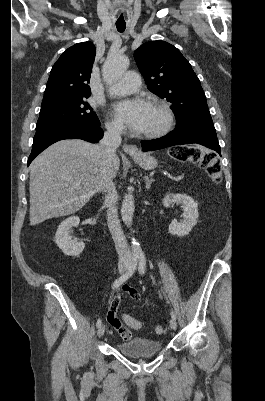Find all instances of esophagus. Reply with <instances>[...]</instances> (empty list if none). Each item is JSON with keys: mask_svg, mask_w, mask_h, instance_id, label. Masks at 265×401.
<instances>
[{"mask_svg": "<svg viewBox=\"0 0 265 401\" xmlns=\"http://www.w3.org/2000/svg\"><path fill=\"white\" fill-rule=\"evenodd\" d=\"M123 150L130 156H136L138 148L135 145H123Z\"/></svg>", "mask_w": 265, "mask_h": 401, "instance_id": "esophagus-1", "label": "esophagus"}]
</instances>
